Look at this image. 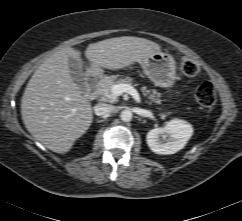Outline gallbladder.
<instances>
[{"mask_svg":"<svg viewBox=\"0 0 242 221\" xmlns=\"http://www.w3.org/2000/svg\"><path fill=\"white\" fill-rule=\"evenodd\" d=\"M69 71L71 78L78 86L79 90L84 93L86 91V83L84 81V73L80 67V61L72 57L69 58Z\"/></svg>","mask_w":242,"mask_h":221,"instance_id":"obj_1","label":"gallbladder"}]
</instances>
